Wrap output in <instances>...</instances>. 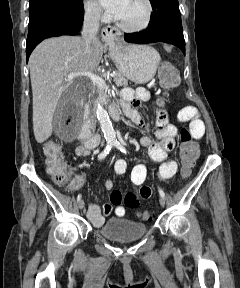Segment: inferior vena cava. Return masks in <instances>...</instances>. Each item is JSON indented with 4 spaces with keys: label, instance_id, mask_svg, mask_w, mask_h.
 <instances>
[{
    "label": "inferior vena cava",
    "instance_id": "1",
    "mask_svg": "<svg viewBox=\"0 0 240 288\" xmlns=\"http://www.w3.org/2000/svg\"><path fill=\"white\" fill-rule=\"evenodd\" d=\"M100 16L101 9L98 6L89 7L85 12L82 39L86 53H89L92 44L98 40L97 33L99 31Z\"/></svg>",
    "mask_w": 240,
    "mask_h": 288
}]
</instances>
